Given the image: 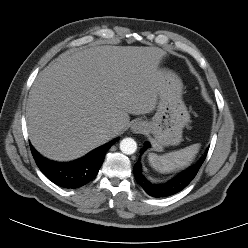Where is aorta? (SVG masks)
I'll return each mask as SVG.
<instances>
[{
  "instance_id": "aorta-1",
  "label": "aorta",
  "mask_w": 248,
  "mask_h": 248,
  "mask_svg": "<svg viewBox=\"0 0 248 248\" xmlns=\"http://www.w3.org/2000/svg\"><path fill=\"white\" fill-rule=\"evenodd\" d=\"M120 150L126 155H131L136 152L137 143L132 138H124L120 142Z\"/></svg>"
}]
</instances>
